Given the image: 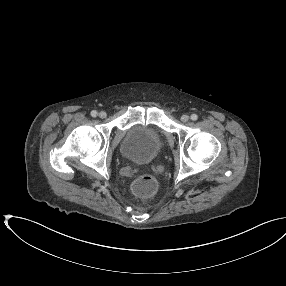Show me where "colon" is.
<instances>
[{"label":"colon","mask_w":286,"mask_h":286,"mask_svg":"<svg viewBox=\"0 0 286 286\" xmlns=\"http://www.w3.org/2000/svg\"><path fill=\"white\" fill-rule=\"evenodd\" d=\"M157 190V181L151 175L140 176L133 184V191L140 197H149Z\"/></svg>","instance_id":"obj_1"}]
</instances>
